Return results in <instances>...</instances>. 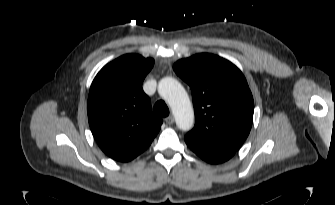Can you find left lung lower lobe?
<instances>
[{"instance_id":"obj_1","label":"left lung lower lobe","mask_w":335,"mask_h":205,"mask_svg":"<svg viewBox=\"0 0 335 205\" xmlns=\"http://www.w3.org/2000/svg\"><path fill=\"white\" fill-rule=\"evenodd\" d=\"M184 139L189 148L208 163L219 164L225 162L236 152L233 150L212 148L187 137H184Z\"/></svg>"}]
</instances>
